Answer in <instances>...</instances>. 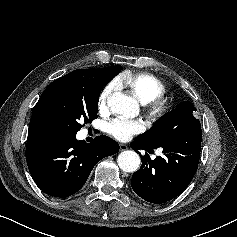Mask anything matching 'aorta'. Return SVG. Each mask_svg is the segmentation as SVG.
Here are the masks:
<instances>
[{"instance_id": "762f6f07", "label": "aorta", "mask_w": 237, "mask_h": 237, "mask_svg": "<svg viewBox=\"0 0 237 237\" xmlns=\"http://www.w3.org/2000/svg\"><path fill=\"white\" fill-rule=\"evenodd\" d=\"M107 104L112 112L127 118L135 117L139 113L137 101L120 92L113 93L108 98ZM117 162L122 171L135 172L140 166V157L136 152L127 150L118 155Z\"/></svg>"}]
</instances>
